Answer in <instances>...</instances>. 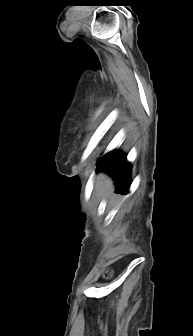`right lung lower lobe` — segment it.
I'll return each instance as SVG.
<instances>
[{"mask_svg":"<svg viewBox=\"0 0 193 336\" xmlns=\"http://www.w3.org/2000/svg\"><path fill=\"white\" fill-rule=\"evenodd\" d=\"M100 169L108 172L115 180L116 192L126 193L130 186L131 166L126 156L112 151L104 156L100 162Z\"/></svg>","mask_w":193,"mask_h":336,"instance_id":"98d812e1","label":"right lung lower lobe"}]
</instances>
